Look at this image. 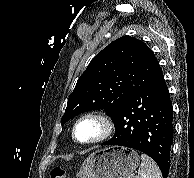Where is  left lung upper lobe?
<instances>
[{"mask_svg": "<svg viewBox=\"0 0 194 178\" xmlns=\"http://www.w3.org/2000/svg\"><path fill=\"white\" fill-rule=\"evenodd\" d=\"M161 75L154 53L142 41L118 38L93 58L78 79L61 125L86 111L103 109L111 117L127 97Z\"/></svg>", "mask_w": 194, "mask_h": 178, "instance_id": "5c2ea615", "label": "left lung upper lobe"}]
</instances>
